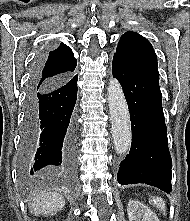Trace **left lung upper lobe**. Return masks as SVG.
<instances>
[{"label": "left lung upper lobe", "mask_w": 190, "mask_h": 221, "mask_svg": "<svg viewBox=\"0 0 190 221\" xmlns=\"http://www.w3.org/2000/svg\"><path fill=\"white\" fill-rule=\"evenodd\" d=\"M114 56L132 64L157 68V57L152 45L135 32H126L122 35Z\"/></svg>", "instance_id": "1"}]
</instances>
